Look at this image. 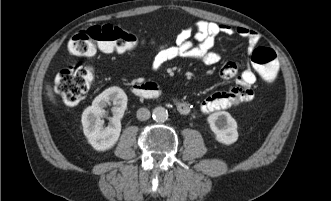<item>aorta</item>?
I'll use <instances>...</instances> for the list:
<instances>
[{
    "label": "aorta",
    "instance_id": "762f6f07",
    "mask_svg": "<svg viewBox=\"0 0 331 201\" xmlns=\"http://www.w3.org/2000/svg\"><path fill=\"white\" fill-rule=\"evenodd\" d=\"M152 117L157 122H164L168 119V111L164 107H156L153 109Z\"/></svg>",
    "mask_w": 331,
    "mask_h": 201
}]
</instances>
